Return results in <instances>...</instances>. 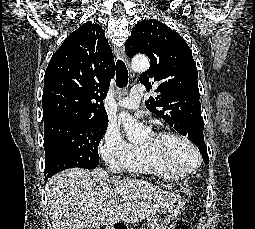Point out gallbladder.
<instances>
[{
    "label": "gallbladder",
    "instance_id": "gallbladder-1",
    "mask_svg": "<svg viewBox=\"0 0 255 229\" xmlns=\"http://www.w3.org/2000/svg\"><path fill=\"white\" fill-rule=\"evenodd\" d=\"M89 229H100V228H99V226H93V227H91Z\"/></svg>",
    "mask_w": 255,
    "mask_h": 229
}]
</instances>
